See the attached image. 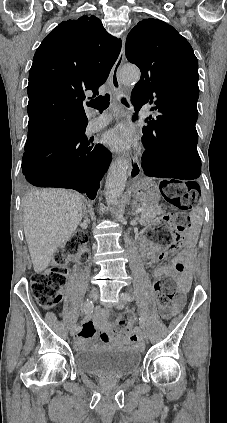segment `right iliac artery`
Masks as SVG:
<instances>
[{"mask_svg": "<svg viewBox=\"0 0 227 423\" xmlns=\"http://www.w3.org/2000/svg\"><path fill=\"white\" fill-rule=\"evenodd\" d=\"M83 311L87 314L91 313L93 311V303L92 301L88 300L85 302L84 306H83ZM76 331L80 332L81 331V327L78 326L76 328Z\"/></svg>", "mask_w": 227, "mask_h": 423, "instance_id": "1", "label": "right iliac artery"}]
</instances>
